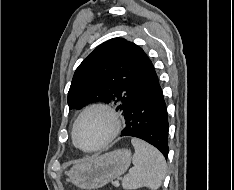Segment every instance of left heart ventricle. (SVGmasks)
I'll list each match as a JSON object with an SVG mask.
<instances>
[{"mask_svg":"<svg viewBox=\"0 0 234 190\" xmlns=\"http://www.w3.org/2000/svg\"><path fill=\"white\" fill-rule=\"evenodd\" d=\"M110 129L111 123L106 115L99 112L91 113L79 125L78 142L85 148L96 146L108 136Z\"/></svg>","mask_w":234,"mask_h":190,"instance_id":"1","label":"left heart ventricle"}]
</instances>
